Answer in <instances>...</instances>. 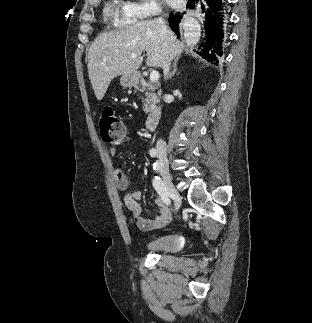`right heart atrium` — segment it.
Listing matches in <instances>:
<instances>
[{
    "mask_svg": "<svg viewBox=\"0 0 312 323\" xmlns=\"http://www.w3.org/2000/svg\"><path fill=\"white\" fill-rule=\"evenodd\" d=\"M162 12V2L128 0L120 11V16L129 17V22H148V17H156L157 13Z\"/></svg>",
    "mask_w": 312,
    "mask_h": 323,
    "instance_id": "1",
    "label": "right heart atrium"
}]
</instances>
